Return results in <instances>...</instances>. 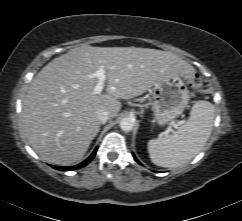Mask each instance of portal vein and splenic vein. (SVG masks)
Segmentation results:
<instances>
[{
  "label": "portal vein and splenic vein",
  "mask_w": 242,
  "mask_h": 221,
  "mask_svg": "<svg viewBox=\"0 0 242 221\" xmlns=\"http://www.w3.org/2000/svg\"><path fill=\"white\" fill-rule=\"evenodd\" d=\"M93 77L98 79L97 84L95 85L93 92L94 94H101L104 89L105 82H106V75L105 70L103 68L98 69L94 74ZM178 124H175L174 127L177 128Z\"/></svg>",
  "instance_id": "1"
}]
</instances>
